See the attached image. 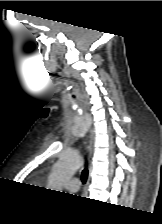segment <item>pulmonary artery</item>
I'll use <instances>...</instances> for the list:
<instances>
[{
  "instance_id": "pulmonary-artery-1",
  "label": "pulmonary artery",
  "mask_w": 162,
  "mask_h": 224,
  "mask_svg": "<svg viewBox=\"0 0 162 224\" xmlns=\"http://www.w3.org/2000/svg\"><path fill=\"white\" fill-rule=\"evenodd\" d=\"M81 185V181L78 177H72L67 184V188L71 192H76L78 191L79 187Z\"/></svg>"
}]
</instances>
